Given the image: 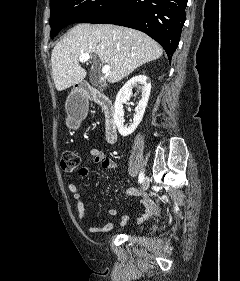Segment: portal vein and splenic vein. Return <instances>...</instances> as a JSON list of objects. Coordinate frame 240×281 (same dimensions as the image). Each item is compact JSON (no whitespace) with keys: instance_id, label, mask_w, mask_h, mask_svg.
<instances>
[{"instance_id":"portal-vein-and-splenic-vein-1","label":"portal vein and splenic vein","mask_w":240,"mask_h":281,"mask_svg":"<svg viewBox=\"0 0 240 281\" xmlns=\"http://www.w3.org/2000/svg\"><path fill=\"white\" fill-rule=\"evenodd\" d=\"M91 58L90 54L88 53H84V54H81L79 56V61L80 63H85L87 62L89 59ZM110 69L111 67L109 65H105L103 68H102V73L103 74H108L110 72Z\"/></svg>"}]
</instances>
